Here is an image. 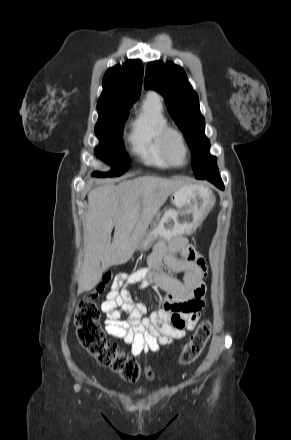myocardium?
Wrapping results in <instances>:
<instances>
[{
    "label": "myocardium",
    "mask_w": 291,
    "mask_h": 440,
    "mask_svg": "<svg viewBox=\"0 0 291 440\" xmlns=\"http://www.w3.org/2000/svg\"><path fill=\"white\" fill-rule=\"evenodd\" d=\"M172 138H175L177 142L179 143L182 152H183V160L182 162H177L173 159L171 152H170V141ZM161 146H162V153L165 159L167 160L169 165L181 167L187 163L188 160V146L186 144L185 137L183 133L173 127L167 126L164 128V130L161 133Z\"/></svg>",
    "instance_id": "myocardium-1"
}]
</instances>
